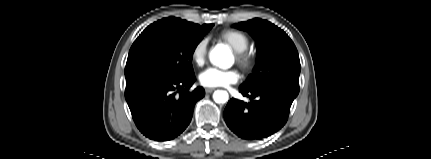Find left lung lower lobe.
Listing matches in <instances>:
<instances>
[{
  "label": "left lung lower lobe",
  "instance_id": "0a47b994",
  "mask_svg": "<svg viewBox=\"0 0 431 159\" xmlns=\"http://www.w3.org/2000/svg\"><path fill=\"white\" fill-rule=\"evenodd\" d=\"M240 92L248 97L250 102L230 99L224 110L225 122L238 137L259 140L272 135L285 125L299 87L274 81L252 89L240 86Z\"/></svg>",
  "mask_w": 431,
  "mask_h": 159
}]
</instances>
